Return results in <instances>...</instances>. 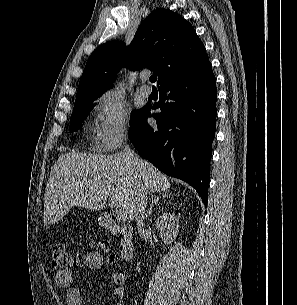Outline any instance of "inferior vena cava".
Segmentation results:
<instances>
[{
	"label": "inferior vena cava",
	"mask_w": 297,
	"mask_h": 305,
	"mask_svg": "<svg viewBox=\"0 0 297 305\" xmlns=\"http://www.w3.org/2000/svg\"><path fill=\"white\" fill-rule=\"evenodd\" d=\"M123 153L126 158L127 165L135 173L136 179L138 180L133 210L137 228L141 232L144 228L143 220L147 203V188L141 177V161L135 152L129 147V145H125Z\"/></svg>",
	"instance_id": "1"
}]
</instances>
